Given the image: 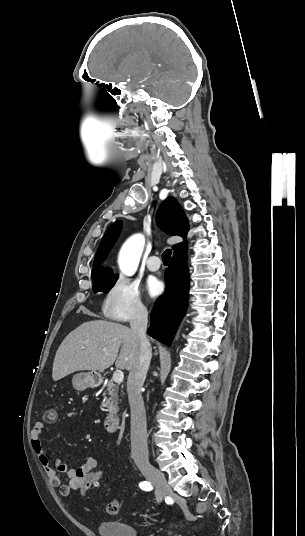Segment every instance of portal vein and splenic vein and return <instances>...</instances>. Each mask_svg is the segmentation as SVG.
Segmentation results:
<instances>
[{"label": "portal vein and splenic vein", "mask_w": 305, "mask_h": 536, "mask_svg": "<svg viewBox=\"0 0 305 536\" xmlns=\"http://www.w3.org/2000/svg\"><path fill=\"white\" fill-rule=\"evenodd\" d=\"M103 350L104 352H106V348H103ZM123 378H124L123 372H121V370H116V372H114L113 374L112 380H114L116 384H121V382H123Z\"/></svg>", "instance_id": "1"}]
</instances>
